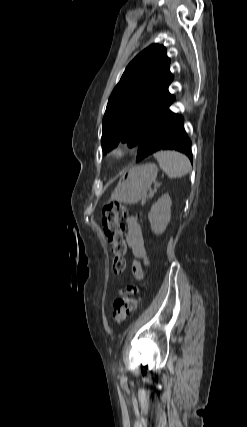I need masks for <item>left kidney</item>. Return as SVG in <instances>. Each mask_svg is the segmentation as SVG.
<instances>
[{
  "label": "left kidney",
  "instance_id": "5707ae66",
  "mask_svg": "<svg viewBox=\"0 0 247 427\" xmlns=\"http://www.w3.org/2000/svg\"><path fill=\"white\" fill-rule=\"evenodd\" d=\"M172 200L168 193L162 195L158 201L152 205L148 214L151 230L156 235L162 234L171 219Z\"/></svg>",
  "mask_w": 247,
  "mask_h": 427
}]
</instances>
